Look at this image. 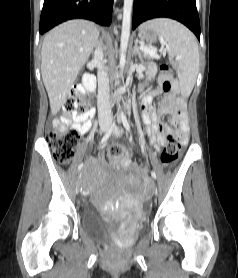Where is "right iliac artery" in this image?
Listing matches in <instances>:
<instances>
[{
  "instance_id": "right-iliac-artery-1",
  "label": "right iliac artery",
  "mask_w": 238,
  "mask_h": 278,
  "mask_svg": "<svg viewBox=\"0 0 238 278\" xmlns=\"http://www.w3.org/2000/svg\"><path fill=\"white\" fill-rule=\"evenodd\" d=\"M115 128V121H113V123L111 124L110 128L108 129V131L106 132V134L103 136V138L101 139L100 143H104L108 140V138L110 137L113 129ZM84 164L81 163L78 166V170H81L83 168Z\"/></svg>"
}]
</instances>
